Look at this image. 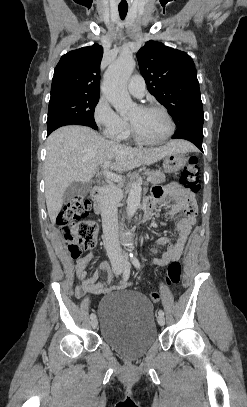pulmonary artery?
<instances>
[{
	"label": "pulmonary artery",
	"instance_id": "obj_1",
	"mask_svg": "<svg viewBox=\"0 0 247 407\" xmlns=\"http://www.w3.org/2000/svg\"><path fill=\"white\" fill-rule=\"evenodd\" d=\"M128 91L135 97L141 98L145 93V82L141 75H134L128 82Z\"/></svg>",
	"mask_w": 247,
	"mask_h": 407
}]
</instances>
